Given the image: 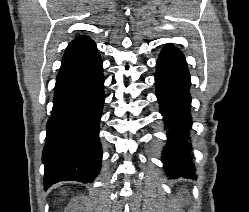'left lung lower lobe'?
<instances>
[{
	"label": "left lung lower lobe",
	"instance_id": "obj_1",
	"mask_svg": "<svg viewBox=\"0 0 249 212\" xmlns=\"http://www.w3.org/2000/svg\"><path fill=\"white\" fill-rule=\"evenodd\" d=\"M155 84L169 141L163 151L165 172L171 178L196 177L186 142L191 127L190 75L184 55L173 46H166L158 58Z\"/></svg>",
	"mask_w": 249,
	"mask_h": 212
}]
</instances>
